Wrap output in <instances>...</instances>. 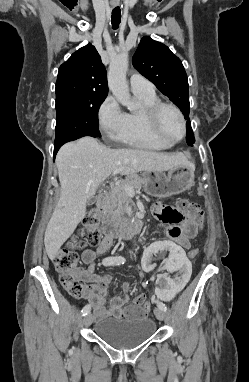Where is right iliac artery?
Wrapping results in <instances>:
<instances>
[{
	"label": "right iliac artery",
	"mask_w": 249,
	"mask_h": 382,
	"mask_svg": "<svg viewBox=\"0 0 249 382\" xmlns=\"http://www.w3.org/2000/svg\"><path fill=\"white\" fill-rule=\"evenodd\" d=\"M124 262H125V258H123L122 256L107 257V258H104L102 261L103 265L105 266L120 265V264H124ZM90 310H91V306L89 304L85 305L83 309L81 310L82 316H86L88 313H90Z\"/></svg>",
	"instance_id": "82829eb1"
}]
</instances>
